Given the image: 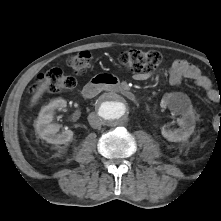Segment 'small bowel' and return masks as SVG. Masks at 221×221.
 Wrapping results in <instances>:
<instances>
[{
	"mask_svg": "<svg viewBox=\"0 0 221 221\" xmlns=\"http://www.w3.org/2000/svg\"><path fill=\"white\" fill-rule=\"evenodd\" d=\"M134 78L138 81H143L148 78V74H135ZM183 79H190L198 87L202 88L210 101H220L218 92L211 87L210 80L201 73L196 65L183 59H177L170 67L169 82L172 85H178Z\"/></svg>",
	"mask_w": 221,
	"mask_h": 221,
	"instance_id": "1",
	"label": "small bowel"
}]
</instances>
